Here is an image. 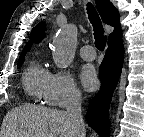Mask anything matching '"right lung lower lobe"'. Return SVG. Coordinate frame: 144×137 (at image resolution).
<instances>
[{
    "mask_svg": "<svg viewBox=\"0 0 144 137\" xmlns=\"http://www.w3.org/2000/svg\"><path fill=\"white\" fill-rule=\"evenodd\" d=\"M124 60L122 40L108 43L106 55L99 67L101 89L89 102L87 122L102 137L110 135L109 105L118 83Z\"/></svg>",
    "mask_w": 144,
    "mask_h": 137,
    "instance_id": "obj_1",
    "label": "right lung lower lobe"
}]
</instances>
